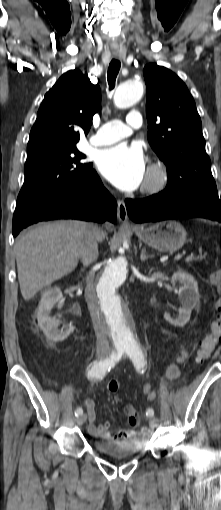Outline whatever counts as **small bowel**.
<instances>
[{
  "label": "small bowel",
  "instance_id": "c3829d8e",
  "mask_svg": "<svg viewBox=\"0 0 221 510\" xmlns=\"http://www.w3.org/2000/svg\"><path fill=\"white\" fill-rule=\"evenodd\" d=\"M188 357L187 351H182L179 357L177 358L176 363H172L167 367V376L170 379H176L179 376V364L183 363ZM145 393L149 396V398H153L154 394L150 389L149 385L144 387ZM87 418H88V430L95 437L106 440V439H129L136 435L135 427L138 424L137 412L135 408L131 405H127L124 409L125 413L128 410L130 413H126L128 416L129 426L122 428L118 431L111 432L110 431V423L104 422L101 424H96V403L91 398H86L84 400Z\"/></svg>",
  "mask_w": 221,
  "mask_h": 510
}]
</instances>
